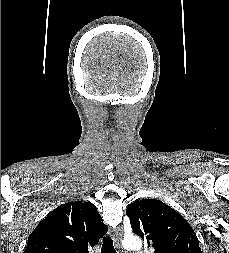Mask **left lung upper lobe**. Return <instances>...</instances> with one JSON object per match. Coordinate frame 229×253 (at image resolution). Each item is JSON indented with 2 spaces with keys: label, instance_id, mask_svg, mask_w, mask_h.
Listing matches in <instances>:
<instances>
[{
  "label": "left lung upper lobe",
  "instance_id": "left-lung-upper-lobe-1",
  "mask_svg": "<svg viewBox=\"0 0 229 253\" xmlns=\"http://www.w3.org/2000/svg\"><path fill=\"white\" fill-rule=\"evenodd\" d=\"M126 214L133 232L140 235L154 253H202L189 223L162 201H134Z\"/></svg>",
  "mask_w": 229,
  "mask_h": 253
}]
</instances>
